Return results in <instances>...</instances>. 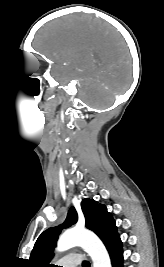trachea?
I'll return each instance as SVG.
<instances>
[{
  "label": "trachea",
  "mask_w": 164,
  "mask_h": 267,
  "mask_svg": "<svg viewBox=\"0 0 164 267\" xmlns=\"http://www.w3.org/2000/svg\"><path fill=\"white\" fill-rule=\"evenodd\" d=\"M82 267H90V263L88 261H84Z\"/></svg>",
  "instance_id": "1"
}]
</instances>
